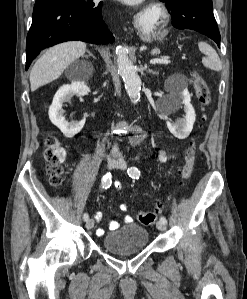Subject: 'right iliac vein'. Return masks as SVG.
<instances>
[{
	"mask_svg": "<svg viewBox=\"0 0 247 299\" xmlns=\"http://www.w3.org/2000/svg\"><path fill=\"white\" fill-rule=\"evenodd\" d=\"M117 161H118V159H117L116 156H114V155H110V156L107 158V167H108L109 169L115 167ZM93 226H94V220H93L92 218L89 219V220H87V222H86V228H87L88 230H91V229L93 228Z\"/></svg>",
	"mask_w": 247,
	"mask_h": 299,
	"instance_id": "63e3f726",
	"label": "right iliac vein"
}]
</instances>
